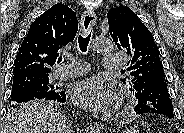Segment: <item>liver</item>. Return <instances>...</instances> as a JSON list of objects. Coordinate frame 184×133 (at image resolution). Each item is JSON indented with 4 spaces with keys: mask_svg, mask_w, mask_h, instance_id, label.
I'll return each instance as SVG.
<instances>
[{
    "mask_svg": "<svg viewBox=\"0 0 184 133\" xmlns=\"http://www.w3.org/2000/svg\"><path fill=\"white\" fill-rule=\"evenodd\" d=\"M4 133H70L67 119L53 102L34 100L23 103L5 119Z\"/></svg>",
    "mask_w": 184,
    "mask_h": 133,
    "instance_id": "liver-1",
    "label": "liver"
}]
</instances>
